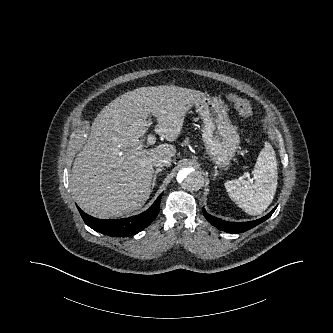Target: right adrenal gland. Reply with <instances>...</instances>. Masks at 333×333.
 Masks as SVG:
<instances>
[{
  "mask_svg": "<svg viewBox=\"0 0 333 333\" xmlns=\"http://www.w3.org/2000/svg\"><path fill=\"white\" fill-rule=\"evenodd\" d=\"M161 171H162V169H161V168H158V169H156V171H155V173H154V177H153V181H152V186H151L152 190H153V188H154L155 185H156V181H157L158 173L161 172Z\"/></svg>",
  "mask_w": 333,
  "mask_h": 333,
  "instance_id": "2a0ac1e0",
  "label": "right adrenal gland"
}]
</instances>
